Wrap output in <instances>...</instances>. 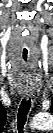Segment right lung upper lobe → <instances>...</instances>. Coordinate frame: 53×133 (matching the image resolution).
I'll return each instance as SVG.
<instances>
[{
  "label": "right lung upper lobe",
  "mask_w": 53,
  "mask_h": 133,
  "mask_svg": "<svg viewBox=\"0 0 53 133\" xmlns=\"http://www.w3.org/2000/svg\"><path fill=\"white\" fill-rule=\"evenodd\" d=\"M0 119L2 121L1 123H2V126H3L4 123H5V120H6V110L2 105H0Z\"/></svg>",
  "instance_id": "1"
}]
</instances>
